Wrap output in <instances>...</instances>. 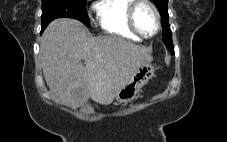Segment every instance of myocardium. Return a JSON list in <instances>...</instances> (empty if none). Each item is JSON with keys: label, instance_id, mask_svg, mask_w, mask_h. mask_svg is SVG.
<instances>
[{"label": "myocardium", "instance_id": "1", "mask_svg": "<svg viewBox=\"0 0 227 142\" xmlns=\"http://www.w3.org/2000/svg\"><path fill=\"white\" fill-rule=\"evenodd\" d=\"M142 5H146V6L150 7L155 14L156 29L150 35H146V34L142 33L136 23V13ZM127 22H128V26L131 29V31L134 34H136L138 37L143 38V39L153 38L154 36H156L159 33V31L161 29L160 12H159L158 8L156 7V5L153 2H151L150 0H133V2L129 5V7L127 9Z\"/></svg>", "mask_w": 227, "mask_h": 142}]
</instances>
